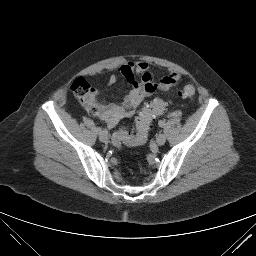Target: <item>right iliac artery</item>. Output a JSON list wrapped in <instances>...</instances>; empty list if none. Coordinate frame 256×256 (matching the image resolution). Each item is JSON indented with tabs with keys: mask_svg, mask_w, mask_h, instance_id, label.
I'll list each match as a JSON object with an SVG mask.
<instances>
[{
	"mask_svg": "<svg viewBox=\"0 0 256 256\" xmlns=\"http://www.w3.org/2000/svg\"><path fill=\"white\" fill-rule=\"evenodd\" d=\"M96 131H97L98 133H101V132H102V129H101L100 127H97V128H96Z\"/></svg>",
	"mask_w": 256,
	"mask_h": 256,
	"instance_id": "obj_1",
	"label": "right iliac artery"
}]
</instances>
